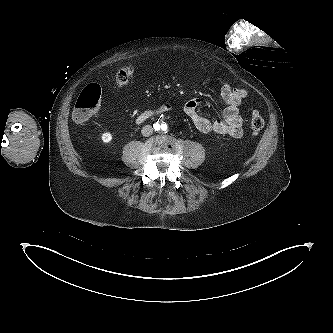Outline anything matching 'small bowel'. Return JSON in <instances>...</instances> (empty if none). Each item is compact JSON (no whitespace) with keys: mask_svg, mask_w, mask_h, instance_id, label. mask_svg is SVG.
I'll list each match as a JSON object with an SVG mask.
<instances>
[{"mask_svg":"<svg viewBox=\"0 0 333 333\" xmlns=\"http://www.w3.org/2000/svg\"><path fill=\"white\" fill-rule=\"evenodd\" d=\"M220 96L226 105L222 120L211 121L202 116L198 108L199 99H191L184 105L185 114L191 119L195 127L202 133L214 132L220 135H228L233 138H240L243 135L242 117L240 105L246 98L247 92L242 88H234L229 84H223Z\"/></svg>","mask_w":333,"mask_h":333,"instance_id":"c3829d8e","label":"small bowel"}]
</instances>
